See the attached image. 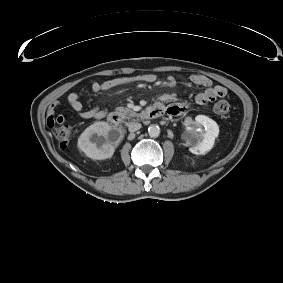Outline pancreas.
Returning <instances> with one entry per match:
<instances>
[{"label": "pancreas", "instance_id": "cf45deb5", "mask_svg": "<svg viewBox=\"0 0 283 283\" xmlns=\"http://www.w3.org/2000/svg\"><path fill=\"white\" fill-rule=\"evenodd\" d=\"M115 110L118 115H122V116L129 115L131 117H139V114L126 107H117Z\"/></svg>", "mask_w": 283, "mask_h": 283}]
</instances>
